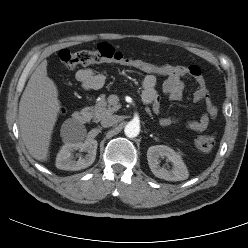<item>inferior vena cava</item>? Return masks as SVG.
Segmentation results:
<instances>
[{"label": "inferior vena cava", "instance_id": "1", "mask_svg": "<svg viewBox=\"0 0 248 248\" xmlns=\"http://www.w3.org/2000/svg\"><path fill=\"white\" fill-rule=\"evenodd\" d=\"M118 122L117 115H110L101 120L102 127H110Z\"/></svg>", "mask_w": 248, "mask_h": 248}]
</instances>
